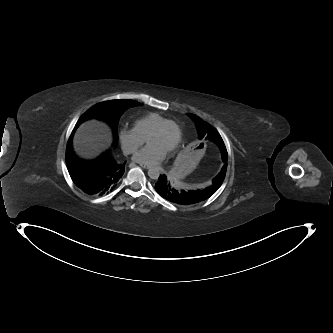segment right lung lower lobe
<instances>
[{
  "label": "right lung lower lobe",
  "instance_id": "98d812e1",
  "mask_svg": "<svg viewBox=\"0 0 333 333\" xmlns=\"http://www.w3.org/2000/svg\"><path fill=\"white\" fill-rule=\"evenodd\" d=\"M72 135L67 146L66 163L74 184L88 195L101 196L113 191L124 174L126 162L114 160L109 152L97 160H80L71 149Z\"/></svg>",
  "mask_w": 333,
  "mask_h": 333
}]
</instances>
